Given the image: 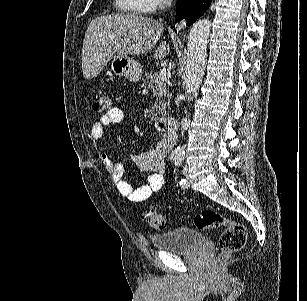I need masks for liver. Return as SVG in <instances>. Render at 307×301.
Instances as JSON below:
<instances>
[{"label":"liver","mask_w":307,"mask_h":301,"mask_svg":"<svg viewBox=\"0 0 307 301\" xmlns=\"http://www.w3.org/2000/svg\"><path fill=\"white\" fill-rule=\"evenodd\" d=\"M163 30V22L135 14H105L93 18L83 40L84 78H95L113 56L150 52ZM169 52L167 40H162L154 52V58L161 60Z\"/></svg>","instance_id":"obj_1"}]
</instances>
